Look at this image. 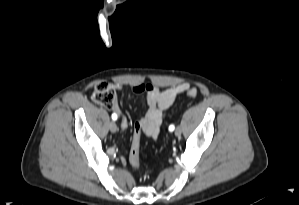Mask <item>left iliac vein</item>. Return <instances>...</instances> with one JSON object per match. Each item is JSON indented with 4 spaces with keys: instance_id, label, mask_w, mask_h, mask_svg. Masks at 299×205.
<instances>
[{
    "instance_id": "1",
    "label": "left iliac vein",
    "mask_w": 299,
    "mask_h": 205,
    "mask_svg": "<svg viewBox=\"0 0 299 205\" xmlns=\"http://www.w3.org/2000/svg\"><path fill=\"white\" fill-rule=\"evenodd\" d=\"M181 128L180 127H178V128H176V130H175V135L177 136V137H179L180 135H181Z\"/></svg>"
}]
</instances>
